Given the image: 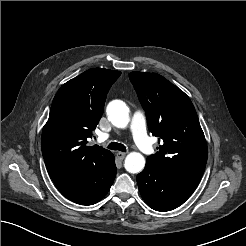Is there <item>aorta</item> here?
<instances>
[{"label":"aorta","instance_id":"1","mask_svg":"<svg viewBox=\"0 0 246 246\" xmlns=\"http://www.w3.org/2000/svg\"><path fill=\"white\" fill-rule=\"evenodd\" d=\"M107 116L111 123L118 128H125L129 121V109L123 101L114 100L106 109ZM145 158L139 152H130L124 162V167L129 173H139L144 169Z\"/></svg>","mask_w":246,"mask_h":246}]
</instances>
